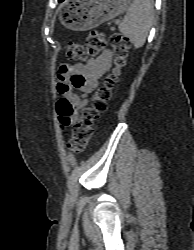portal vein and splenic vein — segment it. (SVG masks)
<instances>
[{
	"label": "portal vein and splenic vein",
	"mask_w": 194,
	"mask_h": 250,
	"mask_svg": "<svg viewBox=\"0 0 194 250\" xmlns=\"http://www.w3.org/2000/svg\"><path fill=\"white\" fill-rule=\"evenodd\" d=\"M119 23H120V21H119V20H117V21H116V24H119Z\"/></svg>",
	"instance_id": "obj_1"
}]
</instances>
